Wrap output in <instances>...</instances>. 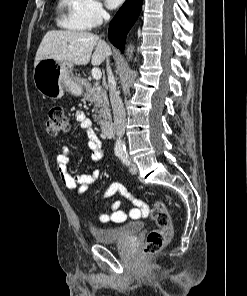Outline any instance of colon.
<instances>
[{
	"mask_svg": "<svg viewBox=\"0 0 247 296\" xmlns=\"http://www.w3.org/2000/svg\"><path fill=\"white\" fill-rule=\"evenodd\" d=\"M69 129L70 123L63 108L52 107L49 111L46 131L50 135L56 136L68 132ZM142 215H151L156 225L148 233L143 250L145 255H153L160 252L172 237V220L165 204L161 201L153 202L151 207L143 206L140 213H134L135 218Z\"/></svg>",
	"mask_w": 247,
	"mask_h": 296,
	"instance_id": "obj_1",
	"label": "colon"
}]
</instances>
